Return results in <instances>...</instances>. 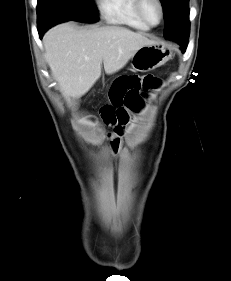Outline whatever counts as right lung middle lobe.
<instances>
[{
  "instance_id": "dd1d6c3e",
  "label": "right lung middle lobe",
  "mask_w": 231,
  "mask_h": 281,
  "mask_svg": "<svg viewBox=\"0 0 231 281\" xmlns=\"http://www.w3.org/2000/svg\"><path fill=\"white\" fill-rule=\"evenodd\" d=\"M38 23L74 20L93 23L98 20V11L92 0H38Z\"/></svg>"
}]
</instances>
